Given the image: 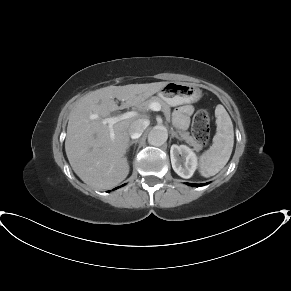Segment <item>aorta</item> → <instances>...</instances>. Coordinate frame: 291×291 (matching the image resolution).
Instances as JSON below:
<instances>
[{
    "label": "aorta",
    "instance_id": "aorta-1",
    "mask_svg": "<svg viewBox=\"0 0 291 291\" xmlns=\"http://www.w3.org/2000/svg\"><path fill=\"white\" fill-rule=\"evenodd\" d=\"M167 139L168 132L164 126H156L148 134V142L153 146H161Z\"/></svg>",
    "mask_w": 291,
    "mask_h": 291
}]
</instances>
